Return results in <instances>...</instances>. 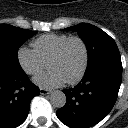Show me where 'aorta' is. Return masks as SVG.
I'll use <instances>...</instances> for the list:
<instances>
[{"label":"aorta","instance_id":"obj_1","mask_svg":"<svg viewBox=\"0 0 128 128\" xmlns=\"http://www.w3.org/2000/svg\"><path fill=\"white\" fill-rule=\"evenodd\" d=\"M50 102L54 107L62 108L66 104V95L60 90H55L50 95Z\"/></svg>","mask_w":128,"mask_h":128}]
</instances>
